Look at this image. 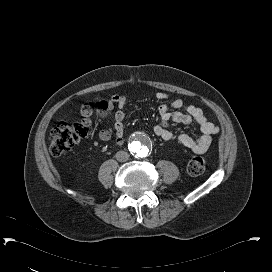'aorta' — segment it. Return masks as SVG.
Wrapping results in <instances>:
<instances>
[{"label": "aorta", "mask_w": 272, "mask_h": 272, "mask_svg": "<svg viewBox=\"0 0 272 272\" xmlns=\"http://www.w3.org/2000/svg\"><path fill=\"white\" fill-rule=\"evenodd\" d=\"M151 144L150 137L146 133L139 132L132 137L128 148L134 157L142 159L149 155Z\"/></svg>", "instance_id": "obj_1"}]
</instances>
